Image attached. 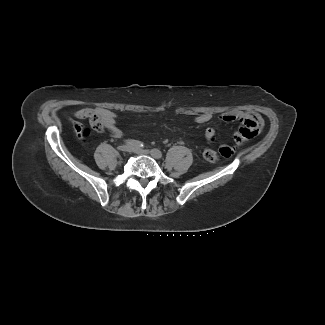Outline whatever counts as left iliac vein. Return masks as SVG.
Here are the masks:
<instances>
[{
    "label": "left iliac vein",
    "mask_w": 325,
    "mask_h": 325,
    "mask_svg": "<svg viewBox=\"0 0 325 325\" xmlns=\"http://www.w3.org/2000/svg\"><path fill=\"white\" fill-rule=\"evenodd\" d=\"M132 151L134 153L140 154V155H150L151 157L155 158V159H159L161 158L159 154L153 152V151H149V150H144V149H139V148H132Z\"/></svg>",
    "instance_id": "obj_1"
}]
</instances>
